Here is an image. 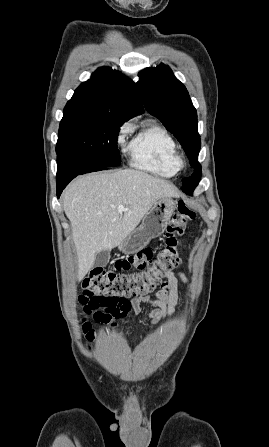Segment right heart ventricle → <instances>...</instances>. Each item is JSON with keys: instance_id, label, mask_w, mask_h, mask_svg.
<instances>
[{"instance_id": "obj_1", "label": "right heart ventricle", "mask_w": 269, "mask_h": 447, "mask_svg": "<svg viewBox=\"0 0 269 447\" xmlns=\"http://www.w3.org/2000/svg\"><path fill=\"white\" fill-rule=\"evenodd\" d=\"M129 163L132 167L162 177H173L179 171L176 164L177 146L169 131L149 123L128 146Z\"/></svg>"}]
</instances>
